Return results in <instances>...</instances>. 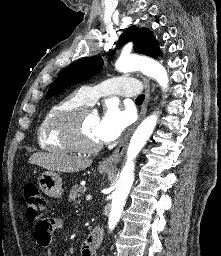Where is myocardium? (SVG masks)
Listing matches in <instances>:
<instances>
[{
	"mask_svg": "<svg viewBox=\"0 0 221 256\" xmlns=\"http://www.w3.org/2000/svg\"><path fill=\"white\" fill-rule=\"evenodd\" d=\"M90 112L87 106L80 107L73 111L63 122L61 133L73 150L82 153H95L100 150L101 144H87L82 139V121L84 116Z\"/></svg>",
	"mask_w": 221,
	"mask_h": 256,
	"instance_id": "obj_1",
	"label": "myocardium"
}]
</instances>
